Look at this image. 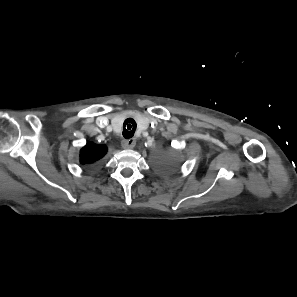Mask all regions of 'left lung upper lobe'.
<instances>
[{"instance_id": "1", "label": "left lung upper lobe", "mask_w": 297, "mask_h": 297, "mask_svg": "<svg viewBox=\"0 0 297 297\" xmlns=\"http://www.w3.org/2000/svg\"><path fill=\"white\" fill-rule=\"evenodd\" d=\"M156 165L160 167H171L173 165L172 161L166 156H159L155 159Z\"/></svg>"}]
</instances>
